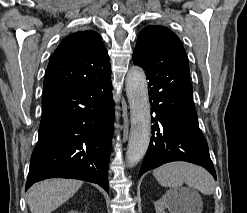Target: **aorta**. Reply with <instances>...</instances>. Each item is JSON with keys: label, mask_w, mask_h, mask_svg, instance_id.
<instances>
[{"label": "aorta", "mask_w": 247, "mask_h": 213, "mask_svg": "<svg viewBox=\"0 0 247 213\" xmlns=\"http://www.w3.org/2000/svg\"><path fill=\"white\" fill-rule=\"evenodd\" d=\"M126 95L131 118L126 161L129 167H133L145 155L151 136L147 80L143 69L138 66H133L126 76Z\"/></svg>", "instance_id": "aorta-1"}]
</instances>
